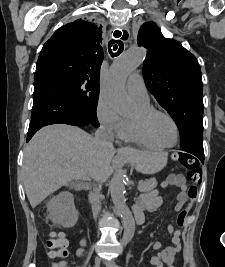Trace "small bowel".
Returning a JSON list of instances; mask_svg holds the SVG:
<instances>
[{
    "label": "small bowel",
    "mask_w": 225,
    "mask_h": 267,
    "mask_svg": "<svg viewBox=\"0 0 225 267\" xmlns=\"http://www.w3.org/2000/svg\"><path fill=\"white\" fill-rule=\"evenodd\" d=\"M164 188L166 187H178L181 189V192L178 195L176 210L182 209L187 201L186 195V181L182 175L174 174L171 175L163 184ZM162 206V198L158 190H153L150 193L143 195L136 205V211L141 212L143 215L144 211H156ZM168 233L171 236V244L165 248L162 247L160 242H155L153 248L159 253L152 257L151 263L155 267H173L172 263L174 260L175 254L179 251L181 243V232L175 230L172 225L167 227ZM78 254H81V251H78Z\"/></svg>",
    "instance_id": "c3829d8e"
}]
</instances>
